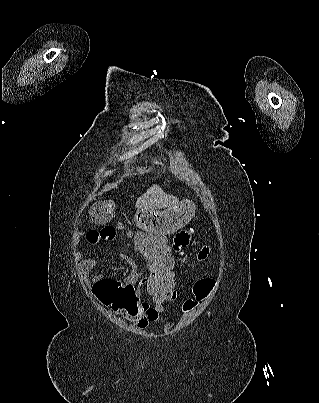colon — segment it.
<instances>
[{
  "instance_id": "colon-1",
  "label": "colon",
  "mask_w": 319,
  "mask_h": 403,
  "mask_svg": "<svg viewBox=\"0 0 319 403\" xmlns=\"http://www.w3.org/2000/svg\"><path fill=\"white\" fill-rule=\"evenodd\" d=\"M111 202L109 197H104L102 203L93 208L92 218L95 222L107 220L112 211ZM168 242V234H139L137 237H133L134 253L140 254V258L145 260V268H150L147 270L149 282H146V291L151 304H172L174 300L176 273L173 268H177L178 262L177 259H172V252H165L168 249ZM173 248L180 253L183 251L175 248L174 245ZM211 250L210 245H201L200 249L196 250V257L206 260L207 254H210ZM197 267L202 269L204 264L199 262ZM213 288L214 282L210 276H195L193 296L183 297V308H178L176 315L186 317L191 310L195 311L198 307H205L204 299L209 294L206 292Z\"/></svg>"
}]
</instances>
